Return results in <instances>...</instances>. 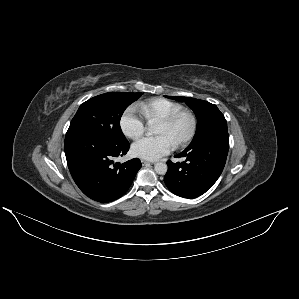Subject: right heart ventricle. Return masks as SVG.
<instances>
[{
  "mask_svg": "<svg viewBox=\"0 0 299 299\" xmlns=\"http://www.w3.org/2000/svg\"><path fill=\"white\" fill-rule=\"evenodd\" d=\"M139 108L147 122L154 124L183 107L181 104L165 98H155L141 103Z\"/></svg>",
  "mask_w": 299,
  "mask_h": 299,
  "instance_id": "e07e8e85",
  "label": "right heart ventricle"
}]
</instances>
